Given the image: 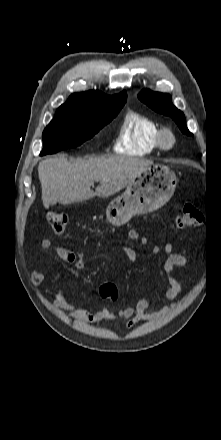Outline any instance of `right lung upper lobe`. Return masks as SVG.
Masks as SVG:
<instances>
[{
  "label": "right lung upper lobe",
  "instance_id": "cb5924a9",
  "mask_svg": "<svg viewBox=\"0 0 221 440\" xmlns=\"http://www.w3.org/2000/svg\"><path fill=\"white\" fill-rule=\"evenodd\" d=\"M127 94L125 91L114 96H108L100 91H87L82 93L72 94L67 102L59 108L68 109H96V108H111L120 107L125 104Z\"/></svg>",
  "mask_w": 221,
  "mask_h": 440
}]
</instances>
